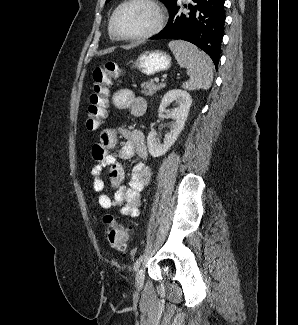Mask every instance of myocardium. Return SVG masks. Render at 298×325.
I'll return each mask as SVG.
<instances>
[{"label": "myocardium", "mask_w": 298, "mask_h": 325, "mask_svg": "<svg viewBox=\"0 0 298 325\" xmlns=\"http://www.w3.org/2000/svg\"><path fill=\"white\" fill-rule=\"evenodd\" d=\"M133 5H139V6H144V7L148 8L154 16V23L148 30H146L142 34L136 36L133 39L126 40V39H123L117 33L116 27H115V22H116L118 13L122 9H124L128 6H133ZM162 26H163V16H162V13H161L159 7L155 3H153L149 0H129V1H126L122 4H120L115 9V11L112 14L111 19H110L109 30H110L112 37L116 41L123 43V44H133V43H138V42H141V41L151 38L152 36H154L161 30Z\"/></svg>", "instance_id": "myocardium-1"}]
</instances>
